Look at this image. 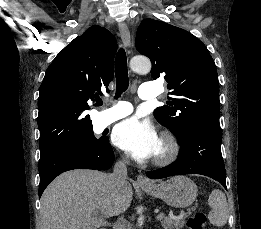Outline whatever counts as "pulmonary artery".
Masks as SVG:
<instances>
[{"instance_id": "pulmonary-artery-1", "label": "pulmonary artery", "mask_w": 261, "mask_h": 229, "mask_svg": "<svg viewBox=\"0 0 261 229\" xmlns=\"http://www.w3.org/2000/svg\"><path fill=\"white\" fill-rule=\"evenodd\" d=\"M157 88V84L141 85V87L138 89V96L139 98L144 100L152 99L157 94H159L154 90ZM131 111L132 107L130 106V104L125 102H119L115 106L104 110L103 116L107 123H112L128 116L131 113Z\"/></svg>"}]
</instances>
